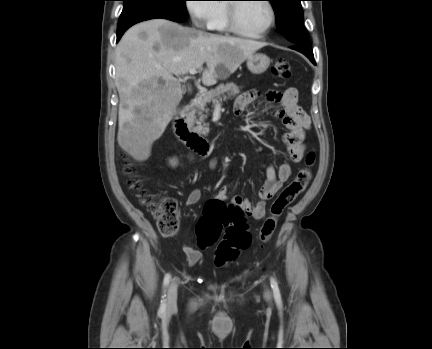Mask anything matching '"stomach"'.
<instances>
[{
	"mask_svg": "<svg viewBox=\"0 0 432 349\" xmlns=\"http://www.w3.org/2000/svg\"><path fill=\"white\" fill-rule=\"evenodd\" d=\"M270 65V58L263 53H254L247 58V67L253 74L265 72Z\"/></svg>",
	"mask_w": 432,
	"mask_h": 349,
	"instance_id": "obj_1",
	"label": "stomach"
}]
</instances>
